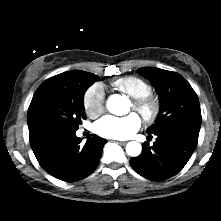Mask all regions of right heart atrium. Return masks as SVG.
I'll return each instance as SVG.
<instances>
[{
	"instance_id": "d8ad5b80",
	"label": "right heart atrium",
	"mask_w": 221,
	"mask_h": 221,
	"mask_svg": "<svg viewBox=\"0 0 221 221\" xmlns=\"http://www.w3.org/2000/svg\"><path fill=\"white\" fill-rule=\"evenodd\" d=\"M83 107L85 112L91 118H96L103 113L105 109V94L101 84L91 85L83 96Z\"/></svg>"
}]
</instances>
